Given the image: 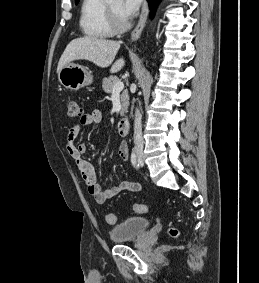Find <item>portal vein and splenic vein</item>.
Returning <instances> with one entry per match:
<instances>
[{"label": "portal vein and splenic vein", "instance_id": "obj_1", "mask_svg": "<svg viewBox=\"0 0 259 283\" xmlns=\"http://www.w3.org/2000/svg\"><path fill=\"white\" fill-rule=\"evenodd\" d=\"M123 89H124V83L121 82V81H119V82H117V83L114 85L113 94H114V93H119V92H121Z\"/></svg>", "mask_w": 259, "mask_h": 283}]
</instances>
